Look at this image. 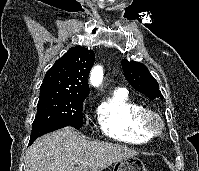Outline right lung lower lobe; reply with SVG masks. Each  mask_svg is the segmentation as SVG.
<instances>
[{"label": "right lung lower lobe", "mask_w": 199, "mask_h": 171, "mask_svg": "<svg viewBox=\"0 0 199 171\" xmlns=\"http://www.w3.org/2000/svg\"><path fill=\"white\" fill-rule=\"evenodd\" d=\"M66 126L67 125L61 123L43 124L37 126L36 128L32 129L29 145H31L38 137Z\"/></svg>", "instance_id": "98d812e1"}]
</instances>
